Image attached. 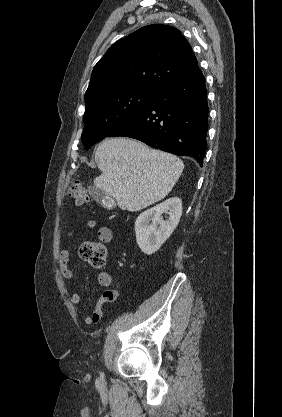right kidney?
Listing matches in <instances>:
<instances>
[{"label":"right kidney","instance_id":"ca27d5eb","mask_svg":"<svg viewBox=\"0 0 282 417\" xmlns=\"http://www.w3.org/2000/svg\"><path fill=\"white\" fill-rule=\"evenodd\" d=\"M162 213H169L166 221H163ZM181 215L182 200L178 196H171L152 206V209L141 213L135 221V231L137 245L142 253L145 255L156 253L176 229Z\"/></svg>","mask_w":282,"mask_h":417}]
</instances>
